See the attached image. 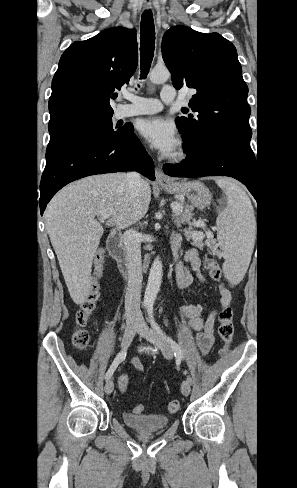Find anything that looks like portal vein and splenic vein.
Here are the masks:
<instances>
[{
  "label": "portal vein and splenic vein",
  "mask_w": 297,
  "mask_h": 488,
  "mask_svg": "<svg viewBox=\"0 0 297 488\" xmlns=\"http://www.w3.org/2000/svg\"><path fill=\"white\" fill-rule=\"evenodd\" d=\"M171 208L177 212L183 210V208L179 204H175V203L171 204ZM111 213H112L111 210H103V211L99 212V216L101 219H106V218L111 216ZM194 235H196L197 237L202 236L201 233H197V232H195Z\"/></svg>",
  "instance_id": "portal-vein-and-splenic-vein-1"
}]
</instances>
